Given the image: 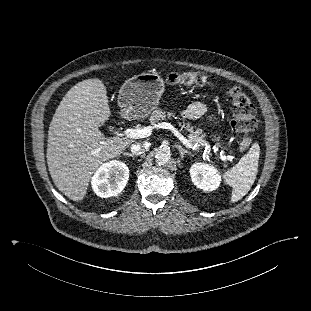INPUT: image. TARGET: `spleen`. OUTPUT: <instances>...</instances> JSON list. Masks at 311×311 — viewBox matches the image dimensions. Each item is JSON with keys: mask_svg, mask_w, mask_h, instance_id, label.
<instances>
[{"mask_svg": "<svg viewBox=\"0 0 311 311\" xmlns=\"http://www.w3.org/2000/svg\"><path fill=\"white\" fill-rule=\"evenodd\" d=\"M259 155L260 147L254 143L239 163L224 173L225 183L232 187L231 202L239 201L251 189L257 176Z\"/></svg>", "mask_w": 311, "mask_h": 311, "instance_id": "3e777b00", "label": "spleen"}]
</instances>
